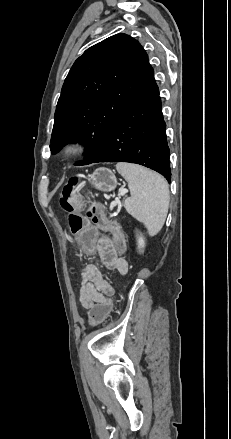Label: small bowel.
Masks as SVG:
<instances>
[{"instance_id": "1", "label": "small bowel", "mask_w": 231, "mask_h": 439, "mask_svg": "<svg viewBox=\"0 0 231 439\" xmlns=\"http://www.w3.org/2000/svg\"><path fill=\"white\" fill-rule=\"evenodd\" d=\"M115 239L102 237L93 252L96 251L99 261L110 270H117L124 274L127 271V262L119 254ZM113 285L103 276L98 265L90 262L84 266L81 273L79 300L83 308L87 309L94 303L104 299L108 294H114Z\"/></svg>"}]
</instances>
